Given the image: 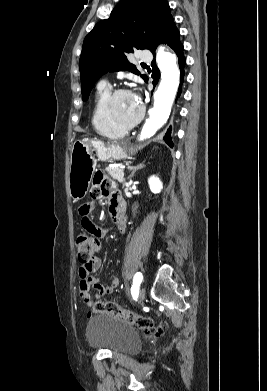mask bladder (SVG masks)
<instances>
[{
    "label": "bladder",
    "mask_w": 267,
    "mask_h": 391,
    "mask_svg": "<svg viewBox=\"0 0 267 391\" xmlns=\"http://www.w3.org/2000/svg\"><path fill=\"white\" fill-rule=\"evenodd\" d=\"M86 339L90 347L112 353L133 354L141 348L139 333L131 325L109 314H98L88 321Z\"/></svg>",
    "instance_id": "bladder-1"
}]
</instances>
